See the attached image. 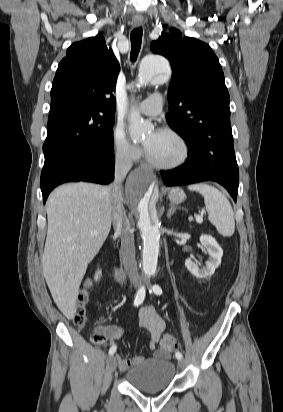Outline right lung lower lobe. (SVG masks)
<instances>
[{
    "label": "right lung lower lobe",
    "instance_id": "98d812e1",
    "mask_svg": "<svg viewBox=\"0 0 283 412\" xmlns=\"http://www.w3.org/2000/svg\"><path fill=\"white\" fill-rule=\"evenodd\" d=\"M114 151L62 150L45 157L40 185L43 202L58 185L71 181L110 183L114 178Z\"/></svg>",
    "mask_w": 283,
    "mask_h": 412
}]
</instances>
